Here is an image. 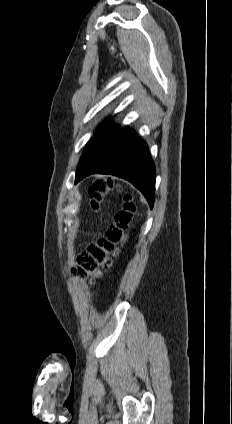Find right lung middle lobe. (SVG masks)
<instances>
[{"instance_id": "dd1d6c3e", "label": "right lung middle lobe", "mask_w": 232, "mask_h": 424, "mask_svg": "<svg viewBox=\"0 0 232 424\" xmlns=\"http://www.w3.org/2000/svg\"><path fill=\"white\" fill-rule=\"evenodd\" d=\"M118 127L114 125H105L100 131L88 142L80 159L76 176L80 175L86 166L100 152L109 138L117 131Z\"/></svg>"}]
</instances>
